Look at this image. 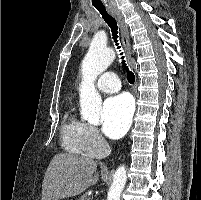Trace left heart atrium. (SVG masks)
<instances>
[{"instance_id":"1","label":"left heart atrium","mask_w":201,"mask_h":200,"mask_svg":"<svg viewBox=\"0 0 201 200\" xmlns=\"http://www.w3.org/2000/svg\"><path fill=\"white\" fill-rule=\"evenodd\" d=\"M133 116V103L128 95L109 98L103 105V132L112 139H119L128 131Z\"/></svg>"}]
</instances>
